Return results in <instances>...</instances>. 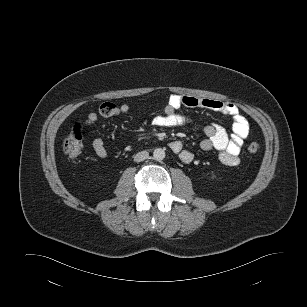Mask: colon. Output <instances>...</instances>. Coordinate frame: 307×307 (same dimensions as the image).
<instances>
[{"label": "colon", "instance_id": "1", "mask_svg": "<svg viewBox=\"0 0 307 307\" xmlns=\"http://www.w3.org/2000/svg\"><path fill=\"white\" fill-rule=\"evenodd\" d=\"M82 147L83 143L81 128L79 125H75L64 140L63 150L69 158L76 159L81 154ZM259 148V144L253 141L248 144L247 152L253 155L258 152Z\"/></svg>", "mask_w": 307, "mask_h": 307}]
</instances>
